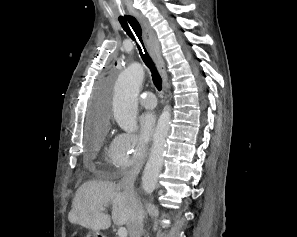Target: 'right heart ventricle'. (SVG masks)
<instances>
[{"label": "right heart ventricle", "instance_id": "right-heart-ventricle-1", "mask_svg": "<svg viewBox=\"0 0 297 237\" xmlns=\"http://www.w3.org/2000/svg\"><path fill=\"white\" fill-rule=\"evenodd\" d=\"M108 156H111V146L107 149Z\"/></svg>", "mask_w": 297, "mask_h": 237}]
</instances>
